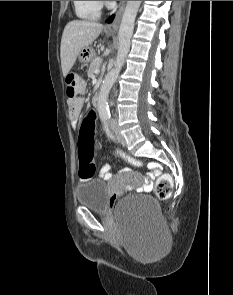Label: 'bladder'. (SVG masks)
Instances as JSON below:
<instances>
[{
  "label": "bladder",
  "mask_w": 233,
  "mask_h": 295,
  "mask_svg": "<svg viewBox=\"0 0 233 295\" xmlns=\"http://www.w3.org/2000/svg\"><path fill=\"white\" fill-rule=\"evenodd\" d=\"M109 190L106 183L100 179H89L76 187L77 202L92 211L105 213L109 210ZM121 212L136 213L147 220L159 217L158 202L149 195H134L123 200Z\"/></svg>",
  "instance_id": "bladder-1"
}]
</instances>
